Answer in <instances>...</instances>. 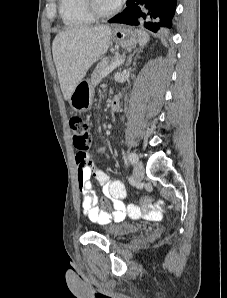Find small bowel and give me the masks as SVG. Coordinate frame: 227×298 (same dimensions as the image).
I'll return each instance as SVG.
<instances>
[{"label": "small bowel", "mask_w": 227, "mask_h": 298, "mask_svg": "<svg viewBox=\"0 0 227 298\" xmlns=\"http://www.w3.org/2000/svg\"><path fill=\"white\" fill-rule=\"evenodd\" d=\"M77 164V177L82 195V211L91 221L107 222L111 219L122 220L129 214L141 213L135 204L122 202L126 196L124 184L119 179H112L104 170L98 168L92 161L89 153L78 152L75 156ZM92 178L96 179L102 187L104 195L111 201L115 211L112 215L100 209L98 199L92 187ZM143 212L152 218H158L160 213L152 206L145 207ZM138 214V215H139Z\"/></svg>", "instance_id": "small-bowel-1"}]
</instances>
